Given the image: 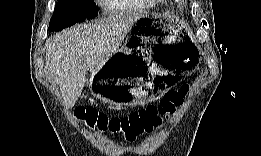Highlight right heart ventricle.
I'll list each match as a JSON object with an SVG mask.
<instances>
[{
	"mask_svg": "<svg viewBox=\"0 0 261 156\" xmlns=\"http://www.w3.org/2000/svg\"><path fill=\"white\" fill-rule=\"evenodd\" d=\"M136 0H106L104 4L114 10H125L131 2Z\"/></svg>",
	"mask_w": 261,
	"mask_h": 156,
	"instance_id": "right-heart-ventricle-1",
	"label": "right heart ventricle"
}]
</instances>
